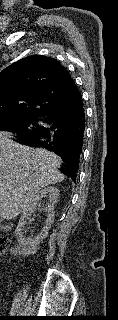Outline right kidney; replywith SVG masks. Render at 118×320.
I'll return each mask as SVG.
<instances>
[{
	"label": "right kidney",
	"mask_w": 118,
	"mask_h": 320,
	"mask_svg": "<svg viewBox=\"0 0 118 320\" xmlns=\"http://www.w3.org/2000/svg\"><path fill=\"white\" fill-rule=\"evenodd\" d=\"M59 194L60 191L57 187L48 186L40 190L33 197L27 209L23 211L15 229V235L19 243V247L16 249L17 252L23 255L34 254L40 242L48 236L49 229L54 222V205L58 201ZM42 199H44V201H42ZM36 211L46 213L47 218L39 234L31 237H25L23 235V231L27 220H30Z\"/></svg>",
	"instance_id": "ca27d5eb"
}]
</instances>
